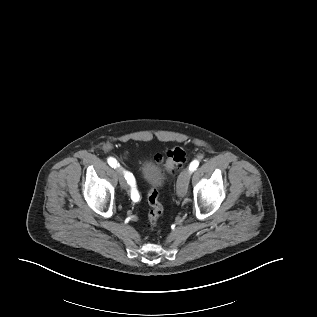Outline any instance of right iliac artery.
Returning a JSON list of instances; mask_svg holds the SVG:
<instances>
[{
  "mask_svg": "<svg viewBox=\"0 0 317 317\" xmlns=\"http://www.w3.org/2000/svg\"><path fill=\"white\" fill-rule=\"evenodd\" d=\"M108 164L113 168H116L117 166H119V164H117V160L113 157L108 158ZM124 175H125V179L127 180V183L132 187L131 199L134 202H137L139 200V194L137 193L135 188H133L135 184L134 177L130 172H127V171H124Z\"/></svg>",
  "mask_w": 317,
  "mask_h": 317,
  "instance_id": "82829eb1",
  "label": "right iliac artery"
}]
</instances>
